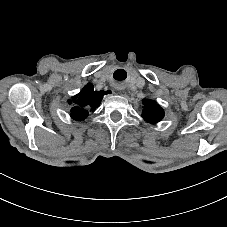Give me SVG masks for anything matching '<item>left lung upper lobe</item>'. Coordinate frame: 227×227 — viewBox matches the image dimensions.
<instances>
[{
	"instance_id": "1",
	"label": "left lung upper lobe",
	"mask_w": 227,
	"mask_h": 227,
	"mask_svg": "<svg viewBox=\"0 0 227 227\" xmlns=\"http://www.w3.org/2000/svg\"><path fill=\"white\" fill-rule=\"evenodd\" d=\"M142 117L150 123H157L164 117V111L153 100H144Z\"/></svg>"
}]
</instances>
